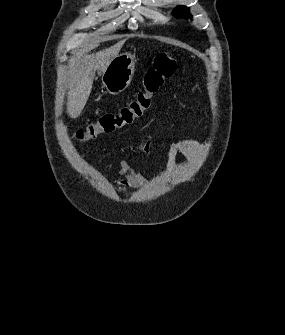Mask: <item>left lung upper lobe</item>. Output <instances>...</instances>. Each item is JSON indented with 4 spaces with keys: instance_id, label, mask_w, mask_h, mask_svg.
I'll return each mask as SVG.
<instances>
[{
    "instance_id": "obj_1",
    "label": "left lung upper lobe",
    "mask_w": 285,
    "mask_h": 335,
    "mask_svg": "<svg viewBox=\"0 0 285 335\" xmlns=\"http://www.w3.org/2000/svg\"><path fill=\"white\" fill-rule=\"evenodd\" d=\"M174 16L179 17L182 16L184 18H191V14L189 13V8L185 7V6H180L177 7L174 11H173Z\"/></svg>"
}]
</instances>
